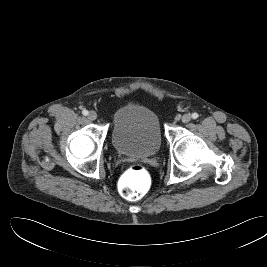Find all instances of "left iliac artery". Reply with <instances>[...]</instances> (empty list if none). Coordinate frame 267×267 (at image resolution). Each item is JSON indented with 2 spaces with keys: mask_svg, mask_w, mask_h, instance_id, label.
Masks as SVG:
<instances>
[{
  "mask_svg": "<svg viewBox=\"0 0 267 267\" xmlns=\"http://www.w3.org/2000/svg\"><path fill=\"white\" fill-rule=\"evenodd\" d=\"M198 116H199V115H198L197 113H193V114H192V118H193V119H197Z\"/></svg>",
  "mask_w": 267,
  "mask_h": 267,
  "instance_id": "1",
  "label": "left iliac artery"
}]
</instances>
